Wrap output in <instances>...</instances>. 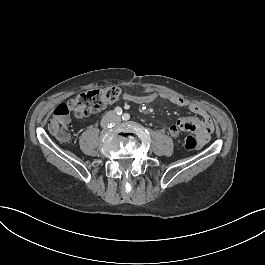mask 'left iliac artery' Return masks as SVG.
<instances>
[{
  "label": "left iliac artery",
  "mask_w": 265,
  "mask_h": 265,
  "mask_svg": "<svg viewBox=\"0 0 265 265\" xmlns=\"http://www.w3.org/2000/svg\"><path fill=\"white\" fill-rule=\"evenodd\" d=\"M122 119L127 121L130 119V115L128 113L123 114Z\"/></svg>",
  "instance_id": "left-iliac-artery-1"
}]
</instances>
